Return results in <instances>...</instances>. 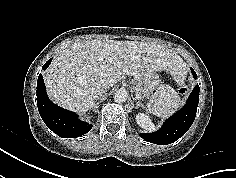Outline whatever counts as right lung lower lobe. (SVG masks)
Segmentation results:
<instances>
[{
  "label": "right lung lower lobe",
  "instance_id": "1",
  "mask_svg": "<svg viewBox=\"0 0 236 178\" xmlns=\"http://www.w3.org/2000/svg\"><path fill=\"white\" fill-rule=\"evenodd\" d=\"M51 60L49 59L42 69L45 70ZM37 106L40 116L47 127L60 137H79L89 132L92 128L89 123L79 120L78 115L74 112L63 109L49 100L42 74L39 75L37 81Z\"/></svg>",
  "mask_w": 236,
  "mask_h": 178
}]
</instances>
